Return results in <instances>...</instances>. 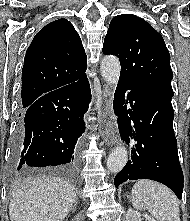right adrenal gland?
Instances as JSON below:
<instances>
[{
	"label": "right adrenal gland",
	"instance_id": "obj_1",
	"mask_svg": "<svg viewBox=\"0 0 190 221\" xmlns=\"http://www.w3.org/2000/svg\"><path fill=\"white\" fill-rule=\"evenodd\" d=\"M77 203H78V202H77V199H76L75 202H74V205H73L72 208H71L72 213L75 212Z\"/></svg>",
	"mask_w": 190,
	"mask_h": 221
}]
</instances>
